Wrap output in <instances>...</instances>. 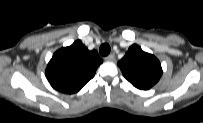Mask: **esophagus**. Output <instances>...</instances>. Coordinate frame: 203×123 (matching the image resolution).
I'll use <instances>...</instances> for the list:
<instances>
[{
	"instance_id": "34e87169",
	"label": "esophagus",
	"mask_w": 203,
	"mask_h": 123,
	"mask_svg": "<svg viewBox=\"0 0 203 123\" xmlns=\"http://www.w3.org/2000/svg\"><path fill=\"white\" fill-rule=\"evenodd\" d=\"M106 61H114L115 60V55L110 54L104 58Z\"/></svg>"
}]
</instances>
